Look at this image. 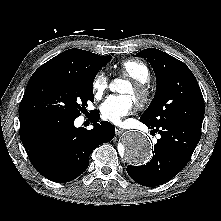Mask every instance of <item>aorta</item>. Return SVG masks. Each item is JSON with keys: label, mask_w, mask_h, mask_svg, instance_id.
<instances>
[{"label": "aorta", "mask_w": 221, "mask_h": 221, "mask_svg": "<svg viewBox=\"0 0 221 221\" xmlns=\"http://www.w3.org/2000/svg\"><path fill=\"white\" fill-rule=\"evenodd\" d=\"M124 80L115 79L110 84V89L119 93H123L122 85ZM122 156L133 165H142L149 160L152 154V145L148 136L139 132L131 131L127 133L122 142Z\"/></svg>", "instance_id": "obj_1"}]
</instances>
